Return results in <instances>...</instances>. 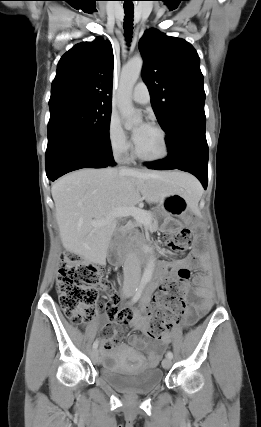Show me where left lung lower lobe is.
<instances>
[{
    "mask_svg": "<svg viewBox=\"0 0 261 427\" xmlns=\"http://www.w3.org/2000/svg\"><path fill=\"white\" fill-rule=\"evenodd\" d=\"M205 114L185 113L165 131L168 156L144 163L155 170L179 169L196 176L207 188L208 145L205 137Z\"/></svg>",
    "mask_w": 261,
    "mask_h": 427,
    "instance_id": "1",
    "label": "left lung lower lobe"
}]
</instances>
